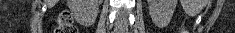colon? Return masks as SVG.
I'll list each match as a JSON object with an SVG mask.
<instances>
[{"mask_svg":"<svg viewBox=\"0 0 235 33\" xmlns=\"http://www.w3.org/2000/svg\"><path fill=\"white\" fill-rule=\"evenodd\" d=\"M57 33H77L71 15L64 11L59 15Z\"/></svg>","mask_w":235,"mask_h":33,"instance_id":"1","label":"colon"}]
</instances>
